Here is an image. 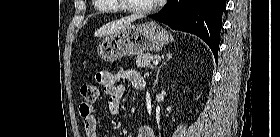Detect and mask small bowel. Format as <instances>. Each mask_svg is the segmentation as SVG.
<instances>
[{
    "label": "small bowel",
    "instance_id": "small-bowel-1",
    "mask_svg": "<svg viewBox=\"0 0 280 137\" xmlns=\"http://www.w3.org/2000/svg\"><path fill=\"white\" fill-rule=\"evenodd\" d=\"M96 80L104 89L107 96L108 110L111 115H119L121 111V101L125 91V82H129L135 89H145L146 83L141 75L134 69L121 68L115 73L101 72L96 76ZM80 113L84 119L85 133L87 137H97V117L93 111V106L89 103L80 105ZM138 137H153V130L149 126H142Z\"/></svg>",
    "mask_w": 280,
    "mask_h": 137
}]
</instances>
